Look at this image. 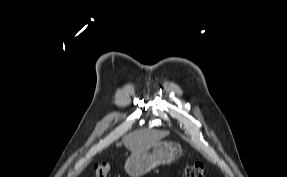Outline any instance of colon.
<instances>
[{"label": "colon", "mask_w": 287, "mask_h": 177, "mask_svg": "<svg viewBox=\"0 0 287 177\" xmlns=\"http://www.w3.org/2000/svg\"><path fill=\"white\" fill-rule=\"evenodd\" d=\"M111 165L107 161H100L94 166L95 177H108ZM186 177H204L205 171L202 163H194L185 170Z\"/></svg>", "instance_id": "1"}]
</instances>
